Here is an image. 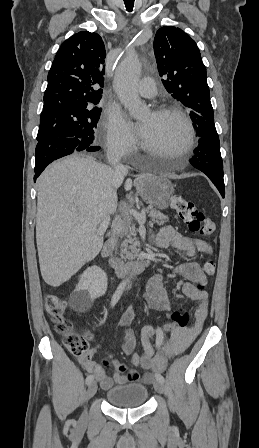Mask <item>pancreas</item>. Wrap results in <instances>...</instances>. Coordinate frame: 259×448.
I'll use <instances>...</instances> for the list:
<instances>
[{"label":"pancreas","mask_w":259,"mask_h":448,"mask_svg":"<svg viewBox=\"0 0 259 448\" xmlns=\"http://www.w3.org/2000/svg\"><path fill=\"white\" fill-rule=\"evenodd\" d=\"M146 212L149 218H152V222L158 224V226H164L165 222H168V216H164V214L157 212V210H153V208H146ZM126 238L127 240H124L121 244V248H123L121 258L136 260V258H139L140 254V244L137 242L135 228H131ZM129 242H131L132 246H128ZM128 250H131V252H128ZM123 254H125V256H123Z\"/></svg>","instance_id":"cf45deb5"}]
</instances>
